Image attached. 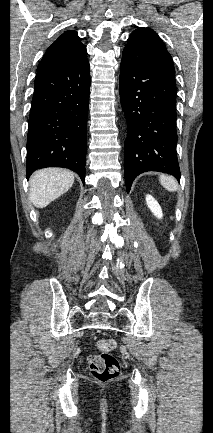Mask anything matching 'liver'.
<instances>
[{"label": "liver", "instance_id": "1", "mask_svg": "<svg viewBox=\"0 0 213 433\" xmlns=\"http://www.w3.org/2000/svg\"><path fill=\"white\" fill-rule=\"evenodd\" d=\"M74 183V173L61 168H44L33 173L29 180L30 201L44 208L66 193Z\"/></svg>", "mask_w": 213, "mask_h": 433}]
</instances>
